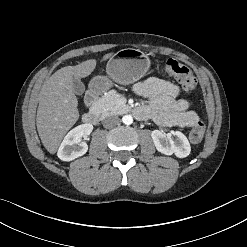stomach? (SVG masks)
<instances>
[{
    "label": "stomach",
    "mask_w": 247,
    "mask_h": 247,
    "mask_svg": "<svg viewBox=\"0 0 247 247\" xmlns=\"http://www.w3.org/2000/svg\"><path fill=\"white\" fill-rule=\"evenodd\" d=\"M150 60L139 49L127 48L112 56L106 66L108 76H96L90 83L91 91L104 92L112 82L128 85L141 79L149 70Z\"/></svg>",
    "instance_id": "1"
}]
</instances>
